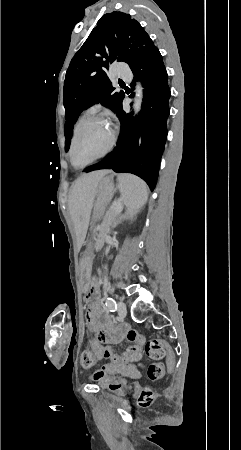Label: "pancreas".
I'll return each mask as SVG.
<instances>
[{"label":"pancreas","mask_w":241,"mask_h":450,"mask_svg":"<svg viewBox=\"0 0 241 450\" xmlns=\"http://www.w3.org/2000/svg\"><path fill=\"white\" fill-rule=\"evenodd\" d=\"M117 218V214L113 213V212H107V216H105V220H104V224L106 227H100V232L98 233V236L96 237V245H93V250H101V246L104 245V243H108L110 241V238L108 236H106V231L110 232L111 231V226L114 222V220H116Z\"/></svg>","instance_id":"obj_1"}]
</instances>
